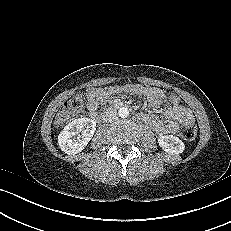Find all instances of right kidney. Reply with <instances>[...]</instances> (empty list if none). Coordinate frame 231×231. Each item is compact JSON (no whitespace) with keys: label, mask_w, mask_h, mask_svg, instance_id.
Listing matches in <instances>:
<instances>
[{"label":"right kidney","mask_w":231,"mask_h":231,"mask_svg":"<svg viewBox=\"0 0 231 231\" xmlns=\"http://www.w3.org/2000/svg\"><path fill=\"white\" fill-rule=\"evenodd\" d=\"M95 131L96 122L94 120L90 118L75 119L60 132L59 147L66 154L75 155L86 147Z\"/></svg>","instance_id":"obj_1"}]
</instances>
